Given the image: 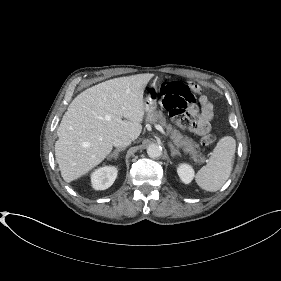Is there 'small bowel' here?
<instances>
[{
  "label": "small bowel",
  "instance_id": "obj_1",
  "mask_svg": "<svg viewBox=\"0 0 281 281\" xmlns=\"http://www.w3.org/2000/svg\"><path fill=\"white\" fill-rule=\"evenodd\" d=\"M200 109L193 108L191 114L197 117L193 125V132L198 135L206 133L210 128V121L213 117L212 104L205 95L199 97Z\"/></svg>",
  "mask_w": 281,
  "mask_h": 281
}]
</instances>
